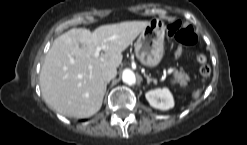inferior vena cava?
<instances>
[{
  "instance_id": "inferior-vena-cava-1",
  "label": "inferior vena cava",
  "mask_w": 247,
  "mask_h": 145,
  "mask_svg": "<svg viewBox=\"0 0 247 145\" xmlns=\"http://www.w3.org/2000/svg\"><path fill=\"white\" fill-rule=\"evenodd\" d=\"M117 74V70L115 67H105L102 70V78L105 82L113 79Z\"/></svg>"
}]
</instances>
